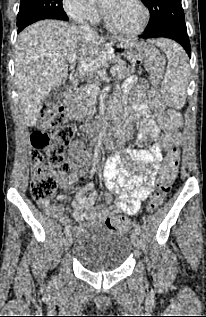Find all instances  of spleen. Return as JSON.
<instances>
[{"instance_id": "3e777b00", "label": "spleen", "mask_w": 206, "mask_h": 317, "mask_svg": "<svg viewBox=\"0 0 206 317\" xmlns=\"http://www.w3.org/2000/svg\"><path fill=\"white\" fill-rule=\"evenodd\" d=\"M167 56L168 66L161 93L165 103L175 109H181L186 101L189 79L188 58L183 48L168 39L152 40Z\"/></svg>"}]
</instances>
